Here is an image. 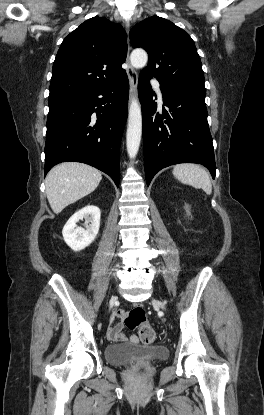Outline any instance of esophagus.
Wrapping results in <instances>:
<instances>
[{
  "label": "esophagus",
  "mask_w": 264,
  "mask_h": 415,
  "mask_svg": "<svg viewBox=\"0 0 264 415\" xmlns=\"http://www.w3.org/2000/svg\"><path fill=\"white\" fill-rule=\"evenodd\" d=\"M129 27H130V24L126 23L127 34L129 33ZM127 63H128L127 75H128L129 84H130V95H132L136 92V89H137L138 74L135 71V69L130 65V62H129V43H128Z\"/></svg>",
  "instance_id": "esophagus-1"
}]
</instances>
